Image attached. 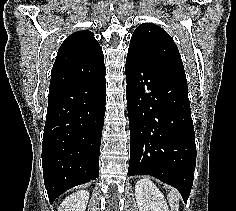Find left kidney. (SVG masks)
Listing matches in <instances>:
<instances>
[{"mask_svg":"<svg viewBox=\"0 0 236 211\" xmlns=\"http://www.w3.org/2000/svg\"><path fill=\"white\" fill-rule=\"evenodd\" d=\"M135 197L139 211H169L163 194L149 179L136 183Z\"/></svg>","mask_w":236,"mask_h":211,"instance_id":"left-kidney-1","label":"left kidney"}]
</instances>
